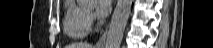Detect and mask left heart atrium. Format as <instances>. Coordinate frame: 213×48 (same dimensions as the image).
Here are the masks:
<instances>
[{"instance_id":"1","label":"left heart atrium","mask_w":213,"mask_h":48,"mask_svg":"<svg viewBox=\"0 0 213 48\" xmlns=\"http://www.w3.org/2000/svg\"><path fill=\"white\" fill-rule=\"evenodd\" d=\"M96 11L95 14L97 17H105L107 16L111 11V0H99L96 2Z\"/></svg>"}]
</instances>
